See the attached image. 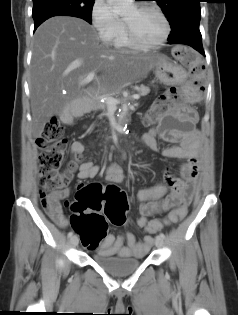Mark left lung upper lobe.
Instances as JSON below:
<instances>
[{
    "instance_id": "5c2ea615",
    "label": "left lung upper lobe",
    "mask_w": 238,
    "mask_h": 315,
    "mask_svg": "<svg viewBox=\"0 0 238 315\" xmlns=\"http://www.w3.org/2000/svg\"><path fill=\"white\" fill-rule=\"evenodd\" d=\"M167 15L171 26L169 38L176 36L189 26L199 25L200 0H155Z\"/></svg>"
}]
</instances>
